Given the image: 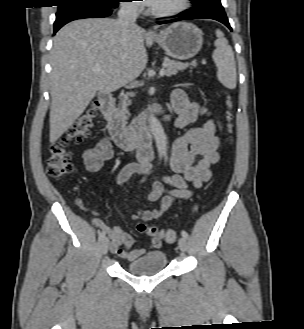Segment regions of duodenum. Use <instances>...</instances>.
Instances as JSON below:
<instances>
[{"mask_svg":"<svg viewBox=\"0 0 304 329\" xmlns=\"http://www.w3.org/2000/svg\"><path fill=\"white\" fill-rule=\"evenodd\" d=\"M103 115L108 122L109 133L114 143L122 149H132L150 138V131L145 124V117H140L132 126L125 123L123 116L115 107V99L108 92H102L98 97ZM165 120H170L169 114H164Z\"/></svg>","mask_w":304,"mask_h":329,"instance_id":"1","label":"duodenum"}]
</instances>
